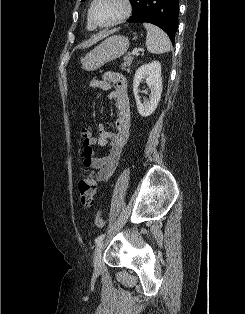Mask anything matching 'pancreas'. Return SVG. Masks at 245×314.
Listing matches in <instances>:
<instances>
[{
  "instance_id": "cf45deb5",
  "label": "pancreas",
  "mask_w": 245,
  "mask_h": 314,
  "mask_svg": "<svg viewBox=\"0 0 245 314\" xmlns=\"http://www.w3.org/2000/svg\"><path fill=\"white\" fill-rule=\"evenodd\" d=\"M132 61H133V57H131L130 53L125 55L123 59V63L121 64L122 70L129 72Z\"/></svg>"
}]
</instances>
